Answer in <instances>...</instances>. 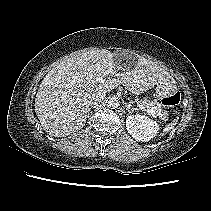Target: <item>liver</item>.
<instances>
[{
  "label": "liver",
  "instance_id": "obj_1",
  "mask_svg": "<svg viewBox=\"0 0 211 211\" xmlns=\"http://www.w3.org/2000/svg\"><path fill=\"white\" fill-rule=\"evenodd\" d=\"M111 75L117 78L104 79ZM171 79L164 68L144 57H139L133 68H123L109 50H92L67 58L45 76L36 94L35 112L44 131L65 137L85 125L91 95L110 92L120 84L132 93H144Z\"/></svg>",
  "mask_w": 211,
  "mask_h": 211
}]
</instances>
